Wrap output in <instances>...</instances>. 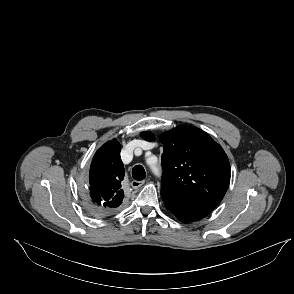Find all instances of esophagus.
<instances>
[{
	"instance_id": "34e87169",
	"label": "esophagus",
	"mask_w": 294,
	"mask_h": 294,
	"mask_svg": "<svg viewBox=\"0 0 294 294\" xmlns=\"http://www.w3.org/2000/svg\"><path fill=\"white\" fill-rule=\"evenodd\" d=\"M144 183H145L144 180H142V181L133 180V181H131L130 184H131V187H132L133 189H138V188L141 187Z\"/></svg>"
}]
</instances>
